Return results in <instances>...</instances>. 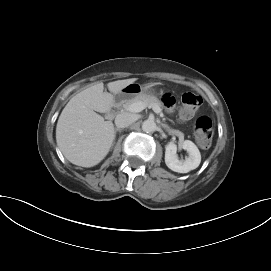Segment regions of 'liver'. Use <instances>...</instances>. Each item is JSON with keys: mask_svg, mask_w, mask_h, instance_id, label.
Listing matches in <instances>:
<instances>
[{"mask_svg": "<svg viewBox=\"0 0 271 271\" xmlns=\"http://www.w3.org/2000/svg\"><path fill=\"white\" fill-rule=\"evenodd\" d=\"M137 78L99 82L75 95L62 110L56 126V142L64 157L82 167L100 163L115 139L114 125L97 114L109 112L114 105L113 94L119 93Z\"/></svg>", "mask_w": 271, "mask_h": 271, "instance_id": "liver-1", "label": "liver"}]
</instances>
